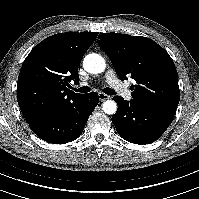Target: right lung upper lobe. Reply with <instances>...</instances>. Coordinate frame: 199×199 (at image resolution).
<instances>
[{"mask_svg": "<svg viewBox=\"0 0 199 199\" xmlns=\"http://www.w3.org/2000/svg\"><path fill=\"white\" fill-rule=\"evenodd\" d=\"M98 33L69 32L52 35L26 57L18 77L17 100L30 124L78 101L84 94L70 91L79 82L82 57Z\"/></svg>", "mask_w": 199, "mask_h": 199, "instance_id": "right-lung-upper-lobe-1", "label": "right lung upper lobe"}]
</instances>
